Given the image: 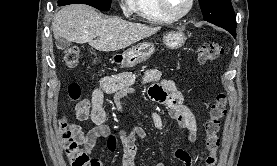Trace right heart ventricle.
<instances>
[{"instance_id":"right-heart-ventricle-1","label":"right heart ventricle","mask_w":277,"mask_h":166,"mask_svg":"<svg viewBox=\"0 0 277 166\" xmlns=\"http://www.w3.org/2000/svg\"><path fill=\"white\" fill-rule=\"evenodd\" d=\"M131 7L137 16L149 23L165 24L172 21L161 12L157 0H132Z\"/></svg>"}]
</instances>
